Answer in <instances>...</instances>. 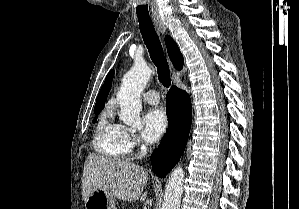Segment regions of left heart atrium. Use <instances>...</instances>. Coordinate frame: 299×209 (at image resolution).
<instances>
[{
  "label": "left heart atrium",
  "mask_w": 299,
  "mask_h": 209,
  "mask_svg": "<svg viewBox=\"0 0 299 209\" xmlns=\"http://www.w3.org/2000/svg\"><path fill=\"white\" fill-rule=\"evenodd\" d=\"M143 139L154 143L160 139L168 127V118L160 108L149 110L144 116Z\"/></svg>",
  "instance_id": "1"
}]
</instances>
